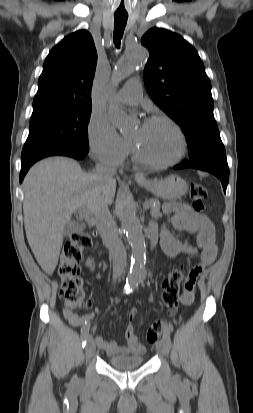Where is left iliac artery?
<instances>
[{"label": "left iliac artery", "instance_id": "1", "mask_svg": "<svg viewBox=\"0 0 253 413\" xmlns=\"http://www.w3.org/2000/svg\"><path fill=\"white\" fill-rule=\"evenodd\" d=\"M163 341L169 347L171 345L170 330L167 328L163 334Z\"/></svg>", "mask_w": 253, "mask_h": 413}]
</instances>
